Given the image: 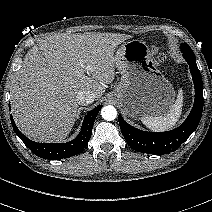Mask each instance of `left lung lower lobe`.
<instances>
[{"instance_id":"left-lung-lower-lobe-1","label":"left lung lower lobe","mask_w":212,"mask_h":212,"mask_svg":"<svg viewBox=\"0 0 212 212\" xmlns=\"http://www.w3.org/2000/svg\"><path fill=\"white\" fill-rule=\"evenodd\" d=\"M183 57L189 64L195 88V101L189 116L181 126L171 131L145 132L130 126L119 115L121 132L134 150L154 155L167 154L178 149L196 130L203 110V83L195 55L183 53Z\"/></svg>"}]
</instances>
